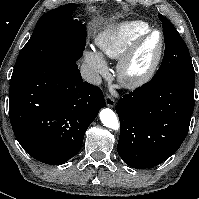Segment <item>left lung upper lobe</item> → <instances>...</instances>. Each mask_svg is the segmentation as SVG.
<instances>
[{"label":"left lung upper lobe","mask_w":199,"mask_h":199,"mask_svg":"<svg viewBox=\"0 0 199 199\" xmlns=\"http://www.w3.org/2000/svg\"><path fill=\"white\" fill-rule=\"evenodd\" d=\"M159 19L163 27L165 52L161 66L153 80L174 75L195 77L189 50L184 40L169 20L161 14H159Z\"/></svg>","instance_id":"1"}]
</instances>
